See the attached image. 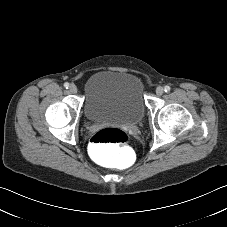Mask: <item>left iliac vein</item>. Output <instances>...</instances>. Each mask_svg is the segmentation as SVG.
<instances>
[{
    "mask_svg": "<svg viewBox=\"0 0 227 227\" xmlns=\"http://www.w3.org/2000/svg\"><path fill=\"white\" fill-rule=\"evenodd\" d=\"M163 93H164L163 87L159 86V87L156 88V94L158 96H161Z\"/></svg>",
    "mask_w": 227,
    "mask_h": 227,
    "instance_id": "4c4485c4",
    "label": "left iliac vein"
}]
</instances>
